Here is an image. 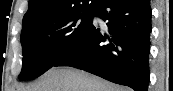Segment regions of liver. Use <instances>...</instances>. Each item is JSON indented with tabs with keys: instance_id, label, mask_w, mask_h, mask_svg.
Masks as SVG:
<instances>
[{
	"instance_id": "1",
	"label": "liver",
	"mask_w": 173,
	"mask_h": 91,
	"mask_svg": "<svg viewBox=\"0 0 173 91\" xmlns=\"http://www.w3.org/2000/svg\"><path fill=\"white\" fill-rule=\"evenodd\" d=\"M20 91H130L72 67H53Z\"/></svg>"
}]
</instances>
